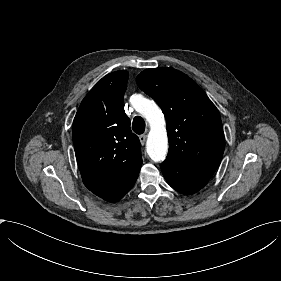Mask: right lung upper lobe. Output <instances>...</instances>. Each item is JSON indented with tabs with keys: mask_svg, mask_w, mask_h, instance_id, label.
I'll list each match as a JSON object with an SVG mask.
<instances>
[{
	"mask_svg": "<svg viewBox=\"0 0 281 281\" xmlns=\"http://www.w3.org/2000/svg\"><path fill=\"white\" fill-rule=\"evenodd\" d=\"M127 71L103 77L73 121V144L85 186L104 198L142 164L141 144L123 110Z\"/></svg>",
	"mask_w": 281,
	"mask_h": 281,
	"instance_id": "obj_1",
	"label": "right lung upper lobe"
}]
</instances>
